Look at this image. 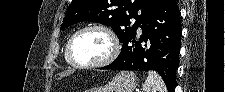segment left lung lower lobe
<instances>
[{
    "label": "left lung lower lobe",
    "mask_w": 225,
    "mask_h": 92,
    "mask_svg": "<svg viewBox=\"0 0 225 92\" xmlns=\"http://www.w3.org/2000/svg\"><path fill=\"white\" fill-rule=\"evenodd\" d=\"M143 34L122 45L119 56L101 69L157 71L170 92L174 91L181 46V18L176 0H165L140 25ZM143 42L144 44H140Z\"/></svg>",
    "instance_id": "1"
}]
</instances>
